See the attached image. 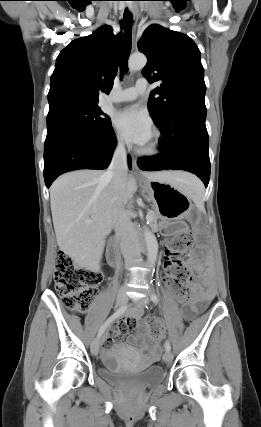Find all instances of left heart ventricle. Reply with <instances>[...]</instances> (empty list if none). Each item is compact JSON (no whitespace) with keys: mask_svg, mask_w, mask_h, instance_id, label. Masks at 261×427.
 <instances>
[{"mask_svg":"<svg viewBox=\"0 0 261 427\" xmlns=\"http://www.w3.org/2000/svg\"><path fill=\"white\" fill-rule=\"evenodd\" d=\"M150 140H151V138H150ZM150 140L144 146L148 145L150 143Z\"/></svg>","mask_w":261,"mask_h":427,"instance_id":"b2bd125f","label":"left heart ventricle"}]
</instances>
